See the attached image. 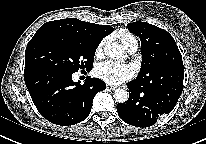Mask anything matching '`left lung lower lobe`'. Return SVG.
<instances>
[{
	"instance_id": "obj_1",
	"label": "left lung lower lobe",
	"mask_w": 206,
	"mask_h": 144,
	"mask_svg": "<svg viewBox=\"0 0 206 144\" xmlns=\"http://www.w3.org/2000/svg\"><path fill=\"white\" fill-rule=\"evenodd\" d=\"M127 86L129 99L117 105L120 118L133 126L150 127L173 110L183 90V79L151 87L132 81Z\"/></svg>"
}]
</instances>
